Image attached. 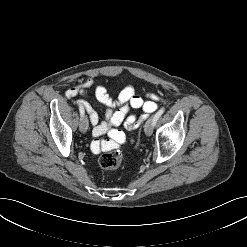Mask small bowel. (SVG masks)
I'll return each instance as SVG.
<instances>
[{"instance_id": "1", "label": "small bowel", "mask_w": 247, "mask_h": 247, "mask_svg": "<svg viewBox=\"0 0 247 247\" xmlns=\"http://www.w3.org/2000/svg\"><path fill=\"white\" fill-rule=\"evenodd\" d=\"M92 87H94L96 100L105 107L103 119L100 121L97 111L89 102L81 99L77 101V105L85 109L88 113L90 122L94 126L93 135L95 137L108 133L114 140V135L121 133L114 129V127L121 124H124L128 130L137 128L139 121L135 115H129L130 109H142L144 112L143 117L146 118L157 109V103L162 100L161 97L155 93H147L144 97L137 95L132 85H127L116 98H112L106 86L103 84L95 86L94 80L91 78L70 87L66 90L65 95L67 98L86 95ZM107 142L108 141L97 140L93 143L92 148L95 152L103 151L105 148L99 149V147L104 146Z\"/></svg>"}]
</instances>
